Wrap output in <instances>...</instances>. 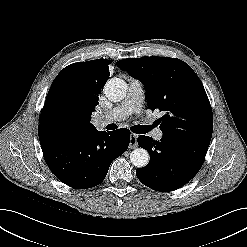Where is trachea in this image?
Wrapping results in <instances>:
<instances>
[{
  "label": "trachea",
  "mask_w": 247,
  "mask_h": 247,
  "mask_svg": "<svg viewBox=\"0 0 247 247\" xmlns=\"http://www.w3.org/2000/svg\"><path fill=\"white\" fill-rule=\"evenodd\" d=\"M131 130L137 134H144L150 130V127L144 126V125H137V126L132 127Z\"/></svg>",
  "instance_id": "1"
}]
</instances>
